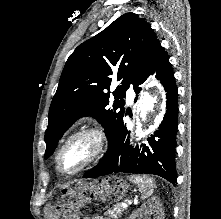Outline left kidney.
I'll return each mask as SVG.
<instances>
[{
  "label": "left kidney",
  "mask_w": 221,
  "mask_h": 219,
  "mask_svg": "<svg viewBox=\"0 0 221 219\" xmlns=\"http://www.w3.org/2000/svg\"><path fill=\"white\" fill-rule=\"evenodd\" d=\"M149 214L154 216L153 219H164L160 200L158 198H151L148 200L132 213L129 219H146Z\"/></svg>",
  "instance_id": "left-kidney-1"
}]
</instances>
